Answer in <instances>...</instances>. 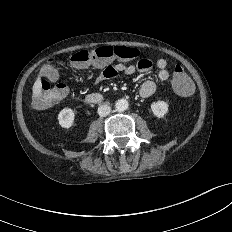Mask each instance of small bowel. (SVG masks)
I'll return each mask as SVG.
<instances>
[{"label": "small bowel", "mask_w": 232, "mask_h": 232, "mask_svg": "<svg viewBox=\"0 0 232 232\" xmlns=\"http://www.w3.org/2000/svg\"><path fill=\"white\" fill-rule=\"evenodd\" d=\"M156 67L158 69L157 78L159 81L165 82L169 79L170 73L167 69V61L163 58L156 60ZM152 61L147 58H142L138 61L136 65H126L122 62L116 61L113 64L104 63V64H95L97 68H100L102 71L99 76L96 78L95 84H100L106 80L114 78L120 74L131 75L136 71L145 73L152 68ZM156 91V83L153 80H146L142 83L139 89V95L142 98H148L154 94Z\"/></svg>", "instance_id": "obj_1"}]
</instances>
